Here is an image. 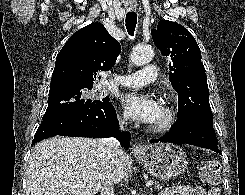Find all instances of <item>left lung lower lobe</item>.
Returning a JSON list of instances; mask_svg holds the SVG:
<instances>
[{
  "label": "left lung lower lobe",
  "mask_w": 245,
  "mask_h": 195,
  "mask_svg": "<svg viewBox=\"0 0 245 195\" xmlns=\"http://www.w3.org/2000/svg\"><path fill=\"white\" fill-rule=\"evenodd\" d=\"M150 142H171L174 144H191L211 149L221 154L218 140L213 128V120L200 116L180 118L165 136Z\"/></svg>",
  "instance_id": "obj_1"
}]
</instances>
